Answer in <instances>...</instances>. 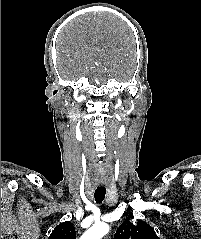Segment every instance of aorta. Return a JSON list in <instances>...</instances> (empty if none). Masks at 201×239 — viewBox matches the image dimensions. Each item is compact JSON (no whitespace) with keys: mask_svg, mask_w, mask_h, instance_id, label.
Listing matches in <instances>:
<instances>
[{"mask_svg":"<svg viewBox=\"0 0 201 239\" xmlns=\"http://www.w3.org/2000/svg\"><path fill=\"white\" fill-rule=\"evenodd\" d=\"M109 229V226L106 224H95L80 239H101L109 232Z\"/></svg>","mask_w":201,"mask_h":239,"instance_id":"aorta-1","label":"aorta"}]
</instances>
